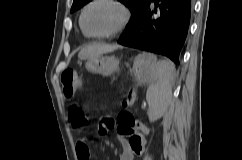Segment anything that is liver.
Wrapping results in <instances>:
<instances>
[{"label": "liver", "instance_id": "1", "mask_svg": "<svg viewBox=\"0 0 242 160\" xmlns=\"http://www.w3.org/2000/svg\"><path fill=\"white\" fill-rule=\"evenodd\" d=\"M119 48H121V46L116 44L110 45V44L95 43L82 48L81 51L79 52L78 57L81 60L93 59L105 53L113 52Z\"/></svg>", "mask_w": 242, "mask_h": 160}]
</instances>
